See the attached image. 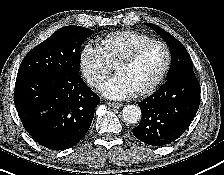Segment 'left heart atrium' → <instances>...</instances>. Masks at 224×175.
I'll list each match as a JSON object with an SVG mask.
<instances>
[{
	"label": "left heart atrium",
	"mask_w": 224,
	"mask_h": 175,
	"mask_svg": "<svg viewBox=\"0 0 224 175\" xmlns=\"http://www.w3.org/2000/svg\"><path fill=\"white\" fill-rule=\"evenodd\" d=\"M100 91L105 97L115 100L127 99L135 94V90L119 74L107 79Z\"/></svg>",
	"instance_id": "1"
}]
</instances>
